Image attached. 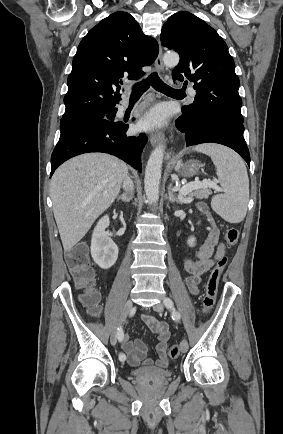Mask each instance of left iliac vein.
Returning a JSON list of instances; mask_svg holds the SVG:
<instances>
[{
    "instance_id": "left-iliac-vein-1",
    "label": "left iliac vein",
    "mask_w": 283,
    "mask_h": 434,
    "mask_svg": "<svg viewBox=\"0 0 283 434\" xmlns=\"http://www.w3.org/2000/svg\"><path fill=\"white\" fill-rule=\"evenodd\" d=\"M153 309L156 312H163L164 310V305L162 303H157L156 305L153 306ZM180 350L182 353H186L188 351V342L186 339H183L181 344H180Z\"/></svg>"
}]
</instances>
